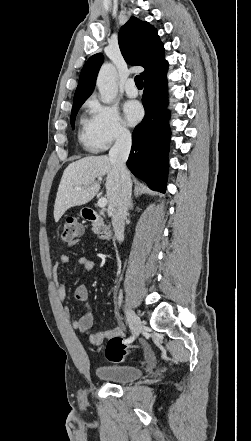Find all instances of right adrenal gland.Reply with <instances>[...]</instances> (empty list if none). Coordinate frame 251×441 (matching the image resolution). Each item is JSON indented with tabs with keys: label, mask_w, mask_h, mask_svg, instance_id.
I'll use <instances>...</instances> for the list:
<instances>
[{
	"label": "right adrenal gland",
	"mask_w": 251,
	"mask_h": 441,
	"mask_svg": "<svg viewBox=\"0 0 251 441\" xmlns=\"http://www.w3.org/2000/svg\"><path fill=\"white\" fill-rule=\"evenodd\" d=\"M133 207H134V204H133V201L131 200V202H130V209H133Z\"/></svg>",
	"instance_id": "right-adrenal-gland-1"
}]
</instances>
